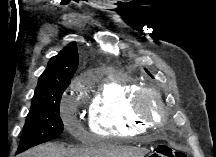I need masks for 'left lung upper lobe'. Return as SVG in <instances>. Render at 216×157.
<instances>
[{
	"label": "left lung upper lobe",
	"mask_w": 216,
	"mask_h": 157,
	"mask_svg": "<svg viewBox=\"0 0 216 157\" xmlns=\"http://www.w3.org/2000/svg\"><path fill=\"white\" fill-rule=\"evenodd\" d=\"M147 71V70H146ZM147 73L150 75V73L147 71ZM151 77H153L152 75H150Z\"/></svg>",
	"instance_id": "left-lung-upper-lobe-1"
}]
</instances>
